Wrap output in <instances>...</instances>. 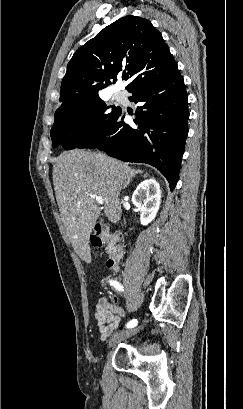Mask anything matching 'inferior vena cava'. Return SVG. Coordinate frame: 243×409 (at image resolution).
Listing matches in <instances>:
<instances>
[{
  "mask_svg": "<svg viewBox=\"0 0 243 409\" xmlns=\"http://www.w3.org/2000/svg\"><path fill=\"white\" fill-rule=\"evenodd\" d=\"M98 157H99L100 161H103L105 159V155L100 154V153L98 154Z\"/></svg>",
  "mask_w": 243,
  "mask_h": 409,
  "instance_id": "inferior-vena-cava-1",
  "label": "inferior vena cava"
}]
</instances>
